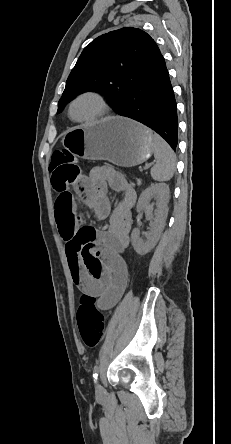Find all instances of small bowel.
Here are the masks:
<instances>
[{"mask_svg":"<svg viewBox=\"0 0 231 444\" xmlns=\"http://www.w3.org/2000/svg\"><path fill=\"white\" fill-rule=\"evenodd\" d=\"M77 195L92 209L96 219L109 218L108 226L94 236H83L69 185L58 191L56 223L65 242L68 265L74 284L108 310L122 297L128 283V268L122 255L129 245L131 209L136 194L127 179L108 166L96 167L88 177L74 183ZM108 188L122 193L111 212Z\"/></svg>","mask_w":231,"mask_h":444,"instance_id":"c3829d8e","label":"small bowel"}]
</instances>
